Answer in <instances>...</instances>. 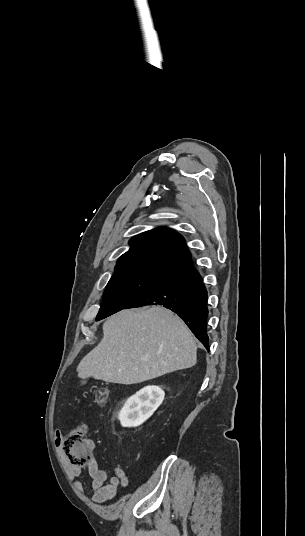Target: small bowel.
<instances>
[{
  "label": "small bowel",
  "mask_w": 305,
  "mask_h": 536,
  "mask_svg": "<svg viewBox=\"0 0 305 536\" xmlns=\"http://www.w3.org/2000/svg\"><path fill=\"white\" fill-rule=\"evenodd\" d=\"M52 438L55 440V445L58 450L61 451L63 442V439H60L61 433L59 431H54L52 433ZM87 445L90 450L93 448L92 441H87ZM61 455L66 472L69 477L76 480L75 484L77 489L82 491L83 482L80 479L82 475V466L73 463L68 455L63 453ZM87 471L91 478L93 500L97 503H106L112 500L116 496L120 486L125 487L129 484L128 477L120 467L115 469L113 475L108 476L104 470L99 468L98 463L93 456H90L87 461Z\"/></svg>",
  "instance_id": "obj_1"
}]
</instances>
